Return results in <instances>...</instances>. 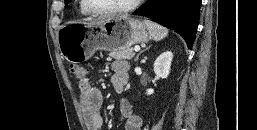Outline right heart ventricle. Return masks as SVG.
<instances>
[{"instance_id": "e07e8e85", "label": "right heart ventricle", "mask_w": 257, "mask_h": 130, "mask_svg": "<svg viewBox=\"0 0 257 130\" xmlns=\"http://www.w3.org/2000/svg\"><path fill=\"white\" fill-rule=\"evenodd\" d=\"M79 7H80V12H81V14H83V15H88V14H89V13L85 10V8L83 7L82 0H80V2H79Z\"/></svg>"}]
</instances>
